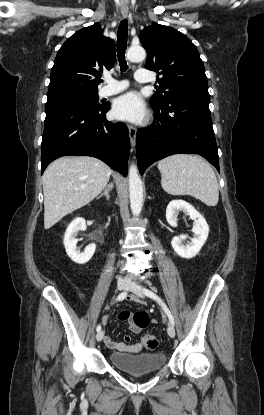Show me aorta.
<instances>
[{
	"label": "aorta",
	"mask_w": 264,
	"mask_h": 415,
	"mask_svg": "<svg viewBox=\"0 0 264 415\" xmlns=\"http://www.w3.org/2000/svg\"><path fill=\"white\" fill-rule=\"evenodd\" d=\"M146 51L141 46H131L127 51V58L131 62L143 61ZM130 208L134 216H138L142 210L143 184L137 167L132 164L128 172Z\"/></svg>",
	"instance_id": "aorta-1"
}]
</instances>
